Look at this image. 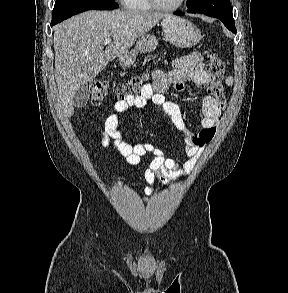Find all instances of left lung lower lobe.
Here are the masks:
<instances>
[{"label": "left lung lower lobe", "mask_w": 288, "mask_h": 293, "mask_svg": "<svg viewBox=\"0 0 288 293\" xmlns=\"http://www.w3.org/2000/svg\"><path fill=\"white\" fill-rule=\"evenodd\" d=\"M188 13H198V12H194V11H191V10H187ZM175 15H184L185 13L184 12H181V11H177V12H174ZM202 14H205L207 16H211V17H215V18H218L220 19L224 25L230 30L232 31L233 33H236V28H235V23H234V20H228V19H225L223 17H220V16H217V15H212V14H206V13H202Z\"/></svg>", "instance_id": "0a47b994"}]
</instances>
